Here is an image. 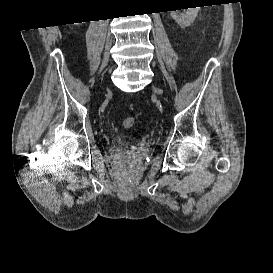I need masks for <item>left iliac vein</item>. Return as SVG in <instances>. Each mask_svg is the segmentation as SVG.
Instances as JSON below:
<instances>
[{
	"mask_svg": "<svg viewBox=\"0 0 273 273\" xmlns=\"http://www.w3.org/2000/svg\"><path fill=\"white\" fill-rule=\"evenodd\" d=\"M153 89H154V91H155L156 93H158V94L161 93V91H160L158 88L154 87Z\"/></svg>",
	"mask_w": 273,
	"mask_h": 273,
	"instance_id": "left-iliac-vein-1",
	"label": "left iliac vein"
}]
</instances>
